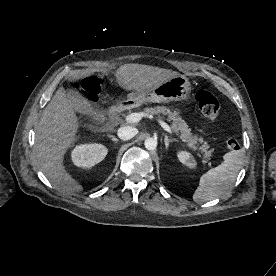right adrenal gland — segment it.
Masks as SVG:
<instances>
[{"mask_svg": "<svg viewBox=\"0 0 276 276\" xmlns=\"http://www.w3.org/2000/svg\"><path fill=\"white\" fill-rule=\"evenodd\" d=\"M108 137L111 138V140L114 141L115 143L119 142V139H117L115 136L108 135Z\"/></svg>", "mask_w": 276, "mask_h": 276, "instance_id": "2a0ac1e0", "label": "right adrenal gland"}]
</instances>
